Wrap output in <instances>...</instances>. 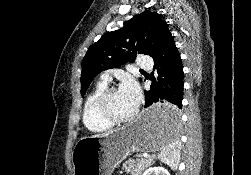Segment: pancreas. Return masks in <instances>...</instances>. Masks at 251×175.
<instances>
[{"label":"pancreas","mask_w":251,"mask_h":175,"mask_svg":"<svg viewBox=\"0 0 251 175\" xmlns=\"http://www.w3.org/2000/svg\"><path fill=\"white\" fill-rule=\"evenodd\" d=\"M134 157H129V159L123 163L122 169H125V171H128V173L130 171L132 175H140L144 167L151 165L152 155H146V157H144V155H141V153H136Z\"/></svg>","instance_id":"pancreas-1"}]
</instances>
